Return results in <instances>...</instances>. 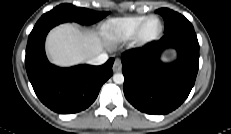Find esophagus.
Wrapping results in <instances>:
<instances>
[{
    "label": "esophagus",
    "instance_id": "esophagus-1",
    "mask_svg": "<svg viewBox=\"0 0 231 134\" xmlns=\"http://www.w3.org/2000/svg\"><path fill=\"white\" fill-rule=\"evenodd\" d=\"M122 69V63L119 59H116L114 64H113V71L114 72H120Z\"/></svg>",
    "mask_w": 231,
    "mask_h": 134
}]
</instances>
